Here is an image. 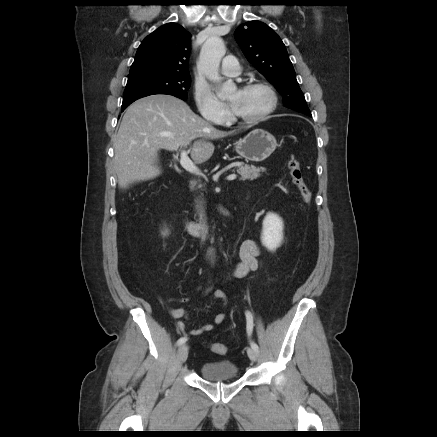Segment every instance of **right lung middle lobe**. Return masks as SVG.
<instances>
[{"instance_id": "dd1d6c3e", "label": "right lung middle lobe", "mask_w": 437, "mask_h": 437, "mask_svg": "<svg viewBox=\"0 0 437 437\" xmlns=\"http://www.w3.org/2000/svg\"><path fill=\"white\" fill-rule=\"evenodd\" d=\"M190 84V75L148 70L130 72L122 108L139 98L154 94H168L186 100Z\"/></svg>"}]
</instances>
